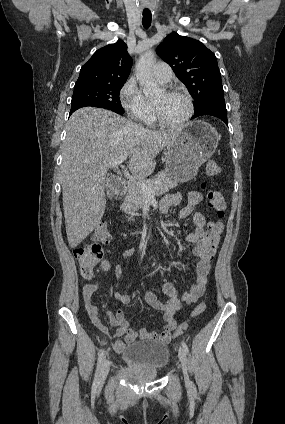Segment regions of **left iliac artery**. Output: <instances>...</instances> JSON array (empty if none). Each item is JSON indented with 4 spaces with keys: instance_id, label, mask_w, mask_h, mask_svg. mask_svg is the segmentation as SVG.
I'll list each match as a JSON object with an SVG mask.
<instances>
[{
    "instance_id": "obj_1",
    "label": "left iliac artery",
    "mask_w": 285,
    "mask_h": 424,
    "mask_svg": "<svg viewBox=\"0 0 285 424\" xmlns=\"http://www.w3.org/2000/svg\"><path fill=\"white\" fill-rule=\"evenodd\" d=\"M182 347L184 348L185 352L188 353L189 352V348L187 346V344L185 342H182Z\"/></svg>"
}]
</instances>
